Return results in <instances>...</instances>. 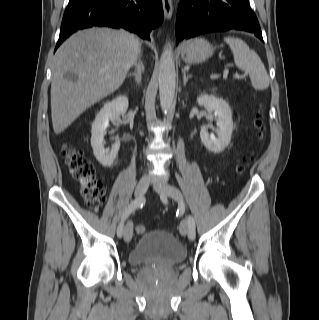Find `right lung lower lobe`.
Listing matches in <instances>:
<instances>
[{
	"mask_svg": "<svg viewBox=\"0 0 319 320\" xmlns=\"http://www.w3.org/2000/svg\"><path fill=\"white\" fill-rule=\"evenodd\" d=\"M162 21L161 0H76L66 8L56 49L78 29L92 26L124 28L150 39Z\"/></svg>",
	"mask_w": 319,
	"mask_h": 320,
	"instance_id": "1",
	"label": "right lung lower lobe"
}]
</instances>
